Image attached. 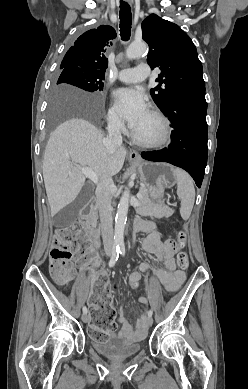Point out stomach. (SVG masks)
Instances as JSON below:
<instances>
[{"label": "stomach", "mask_w": 248, "mask_h": 389, "mask_svg": "<svg viewBox=\"0 0 248 389\" xmlns=\"http://www.w3.org/2000/svg\"><path fill=\"white\" fill-rule=\"evenodd\" d=\"M133 165L138 169L141 181L152 200H160L164 190L176 182V169L169 164L141 160L133 162Z\"/></svg>", "instance_id": "0dacf381"}]
</instances>
